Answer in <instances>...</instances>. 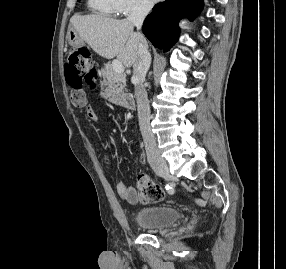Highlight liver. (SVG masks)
<instances>
[{"mask_svg":"<svg viewBox=\"0 0 286 269\" xmlns=\"http://www.w3.org/2000/svg\"><path fill=\"white\" fill-rule=\"evenodd\" d=\"M86 43L101 57L121 61L125 67L134 66L139 58L140 33L127 19L117 20L102 15H74L70 19Z\"/></svg>","mask_w":286,"mask_h":269,"instance_id":"liver-1","label":"liver"}]
</instances>
